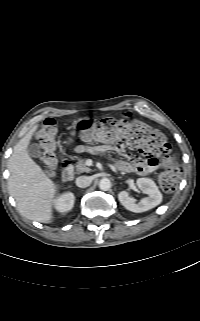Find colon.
Returning <instances> with one entry per match:
<instances>
[{"label": "colon", "instance_id": "colon-1", "mask_svg": "<svg viewBox=\"0 0 200 321\" xmlns=\"http://www.w3.org/2000/svg\"><path fill=\"white\" fill-rule=\"evenodd\" d=\"M56 123L47 118L37 132L42 145L41 161L45 170L51 173L56 166ZM86 141L102 144L112 143L122 147L136 149L143 154L156 156L163 161V170L159 175V184L165 192H173L178 185L180 169L171 153L165 136L145 122L135 119H103L83 132Z\"/></svg>", "mask_w": 200, "mask_h": 321}]
</instances>
